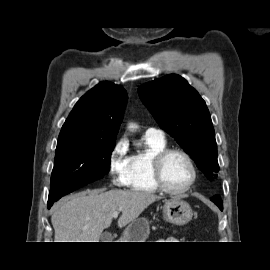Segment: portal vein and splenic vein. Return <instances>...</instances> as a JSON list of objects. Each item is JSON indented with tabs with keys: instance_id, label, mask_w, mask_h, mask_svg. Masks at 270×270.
Wrapping results in <instances>:
<instances>
[{
	"instance_id": "18ae733b",
	"label": "portal vein and splenic vein",
	"mask_w": 270,
	"mask_h": 270,
	"mask_svg": "<svg viewBox=\"0 0 270 270\" xmlns=\"http://www.w3.org/2000/svg\"><path fill=\"white\" fill-rule=\"evenodd\" d=\"M118 215H119V211H115V212L113 213V217H114V218H117Z\"/></svg>"
}]
</instances>
